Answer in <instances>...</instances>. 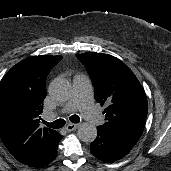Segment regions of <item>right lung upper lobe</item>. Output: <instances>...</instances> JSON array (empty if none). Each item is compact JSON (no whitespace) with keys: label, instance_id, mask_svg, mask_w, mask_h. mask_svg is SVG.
<instances>
[{"label":"right lung upper lobe","instance_id":"cb5924a9","mask_svg":"<svg viewBox=\"0 0 171 171\" xmlns=\"http://www.w3.org/2000/svg\"><path fill=\"white\" fill-rule=\"evenodd\" d=\"M62 56L29 57L11 68L0 82V137L19 161L32 164L55 141V130L39 128L46 97L45 82Z\"/></svg>","mask_w":171,"mask_h":171}]
</instances>
